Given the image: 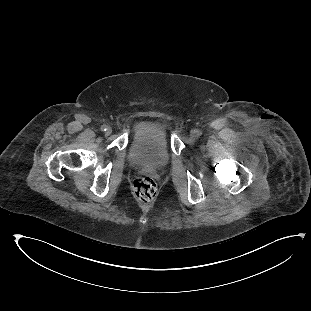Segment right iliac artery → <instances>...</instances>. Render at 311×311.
<instances>
[{
    "label": "right iliac artery",
    "mask_w": 311,
    "mask_h": 311,
    "mask_svg": "<svg viewBox=\"0 0 311 311\" xmlns=\"http://www.w3.org/2000/svg\"><path fill=\"white\" fill-rule=\"evenodd\" d=\"M100 129H101V131H106L107 130V126L106 125H102Z\"/></svg>",
    "instance_id": "1"
}]
</instances>
